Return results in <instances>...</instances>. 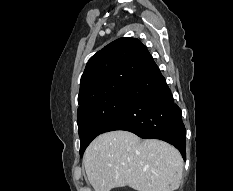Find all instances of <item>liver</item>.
Instances as JSON below:
<instances>
[{
  "mask_svg": "<svg viewBox=\"0 0 233 191\" xmlns=\"http://www.w3.org/2000/svg\"><path fill=\"white\" fill-rule=\"evenodd\" d=\"M83 162L94 191L125 185L137 191H175L182 180L183 159L176 148L157 139L142 141L124 130L96 137Z\"/></svg>",
  "mask_w": 233,
  "mask_h": 191,
  "instance_id": "1",
  "label": "liver"
}]
</instances>
